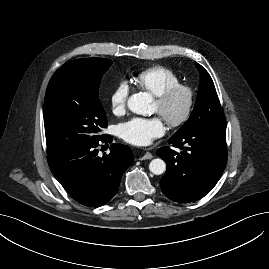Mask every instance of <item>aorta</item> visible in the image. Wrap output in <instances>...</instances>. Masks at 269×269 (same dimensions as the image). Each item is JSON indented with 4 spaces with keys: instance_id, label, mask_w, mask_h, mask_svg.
<instances>
[{
    "instance_id": "aorta-1",
    "label": "aorta",
    "mask_w": 269,
    "mask_h": 269,
    "mask_svg": "<svg viewBox=\"0 0 269 269\" xmlns=\"http://www.w3.org/2000/svg\"><path fill=\"white\" fill-rule=\"evenodd\" d=\"M152 96L146 92L133 94L127 102L128 108L135 114L146 116L150 113ZM149 170L155 175H160L166 170V163L160 159H153L149 164Z\"/></svg>"
}]
</instances>
